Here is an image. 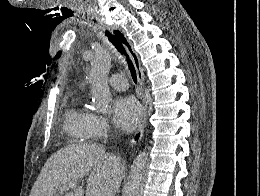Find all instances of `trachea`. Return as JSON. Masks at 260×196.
<instances>
[{
	"label": "trachea",
	"instance_id": "1",
	"mask_svg": "<svg viewBox=\"0 0 260 196\" xmlns=\"http://www.w3.org/2000/svg\"><path fill=\"white\" fill-rule=\"evenodd\" d=\"M106 36L108 37V40L110 41V43H112V45L116 48V50L121 53V55L125 58L127 64H128V68L130 70L131 76L134 80V83H137V74H136V70L131 62V60L129 59L128 54L126 53V50L124 49L123 46V42L120 38V36H122V34L118 31L115 30L114 31V35H112L111 33L107 32Z\"/></svg>",
	"mask_w": 260,
	"mask_h": 196
}]
</instances>
